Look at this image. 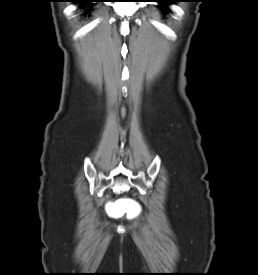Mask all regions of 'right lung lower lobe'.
Instances as JSON below:
<instances>
[{
	"label": "right lung lower lobe",
	"mask_w": 258,
	"mask_h": 275,
	"mask_svg": "<svg viewBox=\"0 0 258 275\" xmlns=\"http://www.w3.org/2000/svg\"><path fill=\"white\" fill-rule=\"evenodd\" d=\"M76 2H80V3H82V4H85V3H87V4H89V3H91L92 1H94V0H75ZM90 11V7L88 8V12Z\"/></svg>",
	"instance_id": "1"
}]
</instances>
